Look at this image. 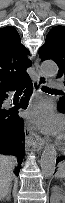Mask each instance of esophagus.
<instances>
[{
	"instance_id": "esophagus-1",
	"label": "esophagus",
	"mask_w": 65,
	"mask_h": 203,
	"mask_svg": "<svg viewBox=\"0 0 65 203\" xmlns=\"http://www.w3.org/2000/svg\"><path fill=\"white\" fill-rule=\"evenodd\" d=\"M35 70H36V79L33 81V87L35 94L40 92V88L47 81V78L40 72L39 62L36 60L35 62ZM28 133V145L33 147L37 151H40L44 146V139L31 127L27 128Z\"/></svg>"
}]
</instances>
